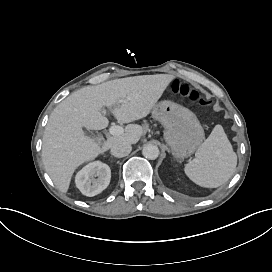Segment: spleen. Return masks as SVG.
I'll use <instances>...</instances> for the list:
<instances>
[{
  "label": "spleen",
  "instance_id": "1",
  "mask_svg": "<svg viewBox=\"0 0 272 272\" xmlns=\"http://www.w3.org/2000/svg\"><path fill=\"white\" fill-rule=\"evenodd\" d=\"M236 164L237 156L222 126L216 125L196 150L194 159L184 166V172L197 185L215 188L232 176Z\"/></svg>",
  "mask_w": 272,
  "mask_h": 272
}]
</instances>
